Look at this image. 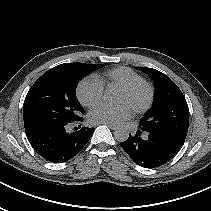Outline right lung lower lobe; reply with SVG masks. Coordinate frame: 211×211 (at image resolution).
I'll return each instance as SVG.
<instances>
[{
    "mask_svg": "<svg viewBox=\"0 0 211 211\" xmlns=\"http://www.w3.org/2000/svg\"><path fill=\"white\" fill-rule=\"evenodd\" d=\"M83 118L79 120L81 122ZM69 124L25 130L32 147L45 160L61 163L74 157L90 140L94 128L79 126L69 133Z\"/></svg>",
    "mask_w": 211,
    "mask_h": 211,
    "instance_id": "obj_1",
    "label": "right lung lower lobe"
}]
</instances>
